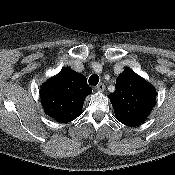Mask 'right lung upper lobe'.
<instances>
[{"instance_id": "right-lung-upper-lobe-1", "label": "right lung upper lobe", "mask_w": 175, "mask_h": 175, "mask_svg": "<svg viewBox=\"0 0 175 175\" xmlns=\"http://www.w3.org/2000/svg\"><path fill=\"white\" fill-rule=\"evenodd\" d=\"M92 88L84 75L70 69H62L44 82L40 89L41 103L45 113L61 123L76 119Z\"/></svg>"}]
</instances>
